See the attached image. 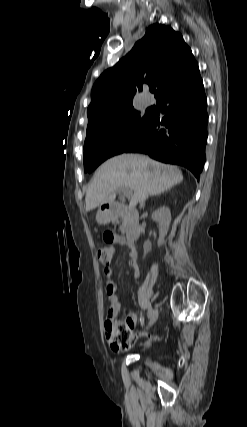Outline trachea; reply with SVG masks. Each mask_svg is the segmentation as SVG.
Returning a JSON list of instances; mask_svg holds the SVG:
<instances>
[{"instance_id": "obj_1", "label": "trachea", "mask_w": 247, "mask_h": 427, "mask_svg": "<svg viewBox=\"0 0 247 427\" xmlns=\"http://www.w3.org/2000/svg\"><path fill=\"white\" fill-rule=\"evenodd\" d=\"M150 91H151L152 93H154V92H155V88H151V89H150Z\"/></svg>"}]
</instances>
